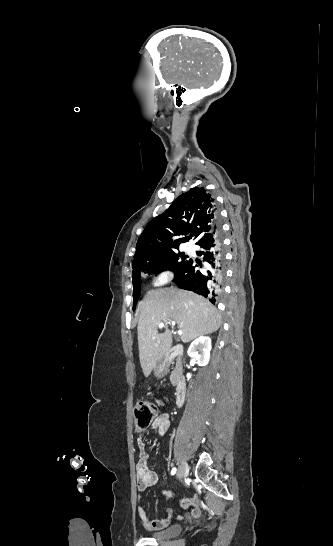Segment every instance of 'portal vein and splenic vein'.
Masks as SVG:
<instances>
[{
	"instance_id": "obj_1",
	"label": "portal vein and splenic vein",
	"mask_w": 333,
	"mask_h": 546,
	"mask_svg": "<svg viewBox=\"0 0 333 546\" xmlns=\"http://www.w3.org/2000/svg\"><path fill=\"white\" fill-rule=\"evenodd\" d=\"M169 322H170V324H171L172 326H175V325H176V322L173 321V320H170ZM158 327H159L160 329L163 328V327H164V321H161V322L158 324ZM178 335L181 336V335H182V331L179 330V331H178Z\"/></svg>"
}]
</instances>
